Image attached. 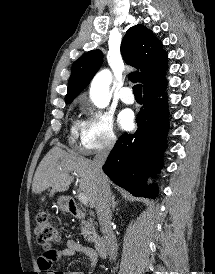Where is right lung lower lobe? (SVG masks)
<instances>
[{
	"mask_svg": "<svg viewBox=\"0 0 215 274\" xmlns=\"http://www.w3.org/2000/svg\"><path fill=\"white\" fill-rule=\"evenodd\" d=\"M165 84L144 91V106L137 115L138 129L125 133L110 152L103 171L120 187L134 196L155 198L156 187H146L148 175L161 168V158L166 148L168 112ZM160 95L162 99L158 98Z\"/></svg>",
	"mask_w": 215,
	"mask_h": 274,
	"instance_id": "98d812e1",
	"label": "right lung lower lobe"
}]
</instances>
